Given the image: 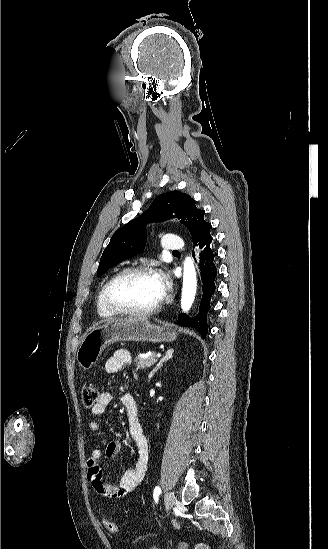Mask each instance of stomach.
<instances>
[{"label": "stomach", "instance_id": "1", "mask_svg": "<svg viewBox=\"0 0 328 549\" xmlns=\"http://www.w3.org/2000/svg\"><path fill=\"white\" fill-rule=\"evenodd\" d=\"M177 339L172 325H155L148 317H128L125 321H111L101 327H91L82 337L76 359L83 371L96 365L106 347L118 341H149V343H172Z\"/></svg>", "mask_w": 328, "mask_h": 549}]
</instances>
